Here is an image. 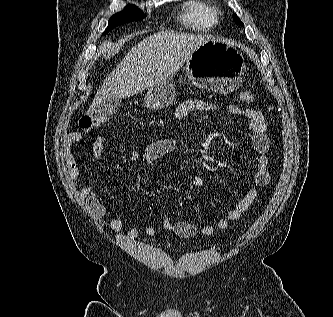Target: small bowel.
Segmentation results:
<instances>
[{
    "label": "small bowel",
    "mask_w": 333,
    "mask_h": 317,
    "mask_svg": "<svg viewBox=\"0 0 333 317\" xmlns=\"http://www.w3.org/2000/svg\"><path fill=\"white\" fill-rule=\"evenodd\" d=\"M219 109V106L203 99H188L177 105L174 111L175 118L179 121L186 118L192 112H211ZM230 114L244 116L248 119L250 130V139L254 151L257 153L256 170L253 174V186L249 187L243 197L236 202L226 215L220 218L214 224L203 226L200 230L193 224L174 219H165L162 223L164 229L172 231L182 238H191L198 232L203 235H211L216 230H225L231 222L238 220L242 214L253 204L258 194V188L269 184L270 176V159L268 152L270 150V139L268 136L267 122L264 114L254 109H243L238 105L232 104L227 107ZM82 140V135L78 132L70 133L64 144V159L67 170L77 191L86 201L90 212L97 218H102L106 214V208L100 201L97 191L91 184H81L74 146ZM105 137L97 138L93 145V155L100 158L104 150ZM178 147L176 139H161L148 144L142 152L132 151L129 154L130 162H144L152 164L174 152ZM109 228L112 232L118 233L123 228V219L119 216L110 222ZM157 228L149 225L145 229L147 235H155ZM139 233L137 226L130 227L125 235L129 238H135Z\"/></svg>",
    "instance_id": "c3829d8e"
}]
</instances>
